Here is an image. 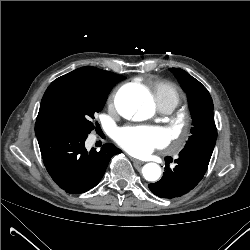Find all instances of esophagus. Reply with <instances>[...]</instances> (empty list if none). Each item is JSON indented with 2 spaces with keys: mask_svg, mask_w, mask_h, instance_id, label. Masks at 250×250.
Instances as JSON below:
<instances>
[{
  "mask_svg": "<svg viewBox=\"0 0 250 250\" xmlns=\"http://www.w3.org/2000/svg\"><path fill=\"white\" fill-rule=\"evenodd\" d=\"M131 160L134 163V165H142V164H144L143 161L135 159V158H131Z\"/></svg>",
  "mask_w": 250,
  "mask_h": 250,
  "instance_id": "obj_1",
  "label": "esophagus"
}]
</instances>
